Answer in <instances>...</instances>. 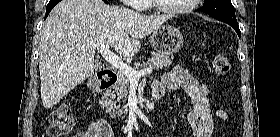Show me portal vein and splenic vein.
<instances>
[{"mask_svg":"<svg viewBox=\"0 0 280 137\" xmlns=\"http://www.w3.org/2000/svg\"><path fill=\"white\" fill-rule=\"evenodd\" d=\"M93 46L94 48H97L100 51L102 57L108 63H110L113 67L118 69L120 73L125 74L131 82H138L142 76L152 73V68H145L140 71H136L130 65L124 63L117 55H115L110 50L109 44L104 45L100 43H93Z\"/></svg>","mask_w":280,"mask_h":137,"instance_id":"18ae733b","label":"portal vein and splenic vein"}]
</instances>
